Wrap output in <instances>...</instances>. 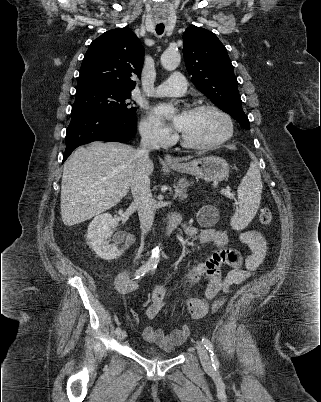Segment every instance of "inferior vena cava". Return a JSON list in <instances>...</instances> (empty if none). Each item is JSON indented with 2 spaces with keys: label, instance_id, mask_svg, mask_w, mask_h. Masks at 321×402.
<instances>
[{
  "label": "inferior vena cava",
  "instance_id": "602c4592",
  "mask_svg": "<svg viewBox=\"0 0 321 402\" xmlns=\"http://www.w3.org/2000/svg\"><path fill=\"white\" fill-rule=\"evenodd\" d=\"M140 149L137 150V166L130 187L137 207L142 235H146L154 221V199L150 190L148 172L149 152L159 149V137L151 129L141 130Z\"/></svg>",
  "mask_w": 321,
  "mask_h": 402
}]
</instances>
